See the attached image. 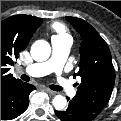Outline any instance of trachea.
Instances as JSON below:
<instances>
[{"mask_svg": "<svg viewBox=\"0 0 121 121\" xmlns=\"http://www.w3.org/2000/svg\"><path fill=\"white\" fill-rule=\"evenodd\" d=\"M21 79L24 80V81H29L30 80V77L23 74L21 75ZM50 88L52 90H55V91H62V87L58 86V85H51Z\"/></svg>", "mask_w": 121, "mask_h": 121, "instance_id": "obj_1", "label": "trachea"}]
</instances>
